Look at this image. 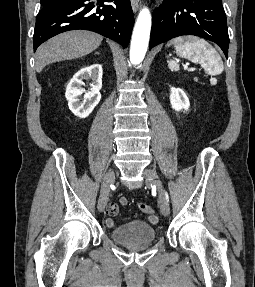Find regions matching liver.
<instances>
[{
	"mask_svg": "<svg viewBox=\"0 0 255 287\" xmlns=\"http://www.w3.org/2000/svg\"><path fill=\"white\" fill-rule=\"evenodd\" d=\"M102 40L103 36L94 32H83V30L59 34L39 46L35 56L36 72L40 74L45 66L53 62L82 58L86 54H91L100 46Z\"/></svg>",
	"mask_w": 255,
	"mask_h": 287,
	"instance_id": "1",
	"label": "liver"
}]
</instances>
